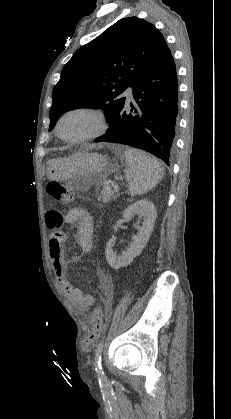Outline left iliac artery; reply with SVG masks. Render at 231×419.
<instances>
[{"label": "left iliac artery", "instance_id": "44dca946", "mask_svg": "<svg viewBox=\"0 0 231 419\" xmlns=\"http://www.w3.org/2000/svg\"><path fill=\"white\" fill-rule=\"evenodd\" d=\"M103 346H104V340H101L95 351V370L98 376L104 375V372L101 366Z\"/></svg>", "mask_w": 231, "mask_h": 419}]
</instances>
